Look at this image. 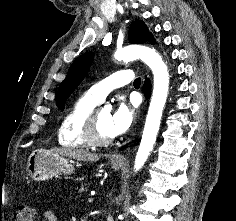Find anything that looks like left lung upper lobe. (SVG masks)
Listing matches in <instances>:
<instances>
[{"instance_id": "1", "label": "left lung upper lobe", "mask_w": 236, "mask_h": 221, "mask_svg": "<svg viewBox=\"0 0 236 221\" xmlns=\"http://www.w3.org/2000/svg\"><path fill=\"white\" fill-rule=\"evenodd\" d=\"M154 42L152 36L144 22L136 20L131 23L129 30V41L135 44H141L146 41ZM94 58L93 52H88L78 57L68 70L65 80L60 84L56 96V104L60 109H64L65 100L80 84L89 71Z\"/></svg>"}]
</instances>
